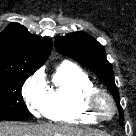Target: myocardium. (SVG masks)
Instances as JSON below:
<instances>
[{
	"mask_svg": "<svg viewBox=\"0 0 136 136\" xmlns=\"http://www.w3.org/2000/svg\"><path fill=\"white\" fill-rule=\"evenodd\" d=\"M102 99H106L111 106V113L109 115H104L101 113L99 105ZM85 107L87 111L98 121H108L111 120L117 111V106L114 98L107 91L102 89H96L89 93L85 100Z\"/></svg>",
	"mask_w": 136,
	"mask_h": 136,
	"instance_id": "f54148a6",
	"label": "myocardium"
}]
</instances>
